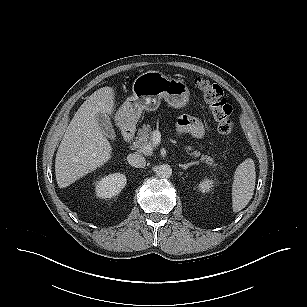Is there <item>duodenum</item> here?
<instances>
[{"label": "duodenum", "instance_id": "obj_1", "mask_svg": "<svg viewBox=\"0 0 307 307\" xmlns=\"http://www.w3.org/2000/svg\"><path fill=\"white\" fill-rule=\"evenodd\" d=\"M135 132L133 130L126 131L124 134V139L127 143H131L134 139Z\"/></svg>", "mask_w": 307, "mask_h": 307}]
</instances>
